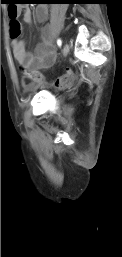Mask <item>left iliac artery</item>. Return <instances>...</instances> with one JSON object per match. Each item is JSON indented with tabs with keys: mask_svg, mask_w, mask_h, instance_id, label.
I'll return each mask as SVG.
<instances>
[{
	"mask_svg": "<svg viewBox=\"0 0 122 257\" xmlns=\"http://www.w3.org/2000/svg\"><path fill=\"white\" fill-rule=\"evenodd\" d=\"M57 44H58L59 47H61V45H62V40H61V39H58V40H57Z\"/></svg>",
	"mask_w": 122,
	"mask_h": 257,
	"instance_id": "obj_1",
	"label": "left iliac artery"
}]
</instances>
